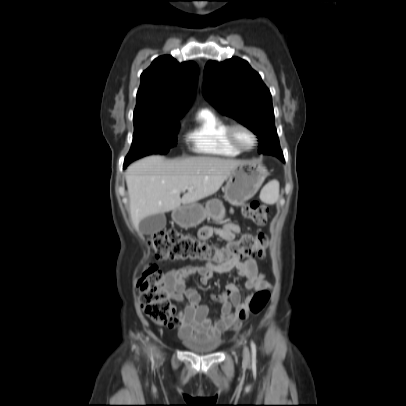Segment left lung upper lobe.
<instances>
[{"label":"left lung upper lobe","mask_w":406,"mask_h":406,"mask_svg":"<svg viewBox=\"0 0 406 406\" xmlns=\"http://www.w3.org/2000/svg\"><path fill=\"white\" fill-rule=\"evenodd\" d=\"M203 95L221 113L258 135L259 153L283 157L274 126L271 94L246 61L237 57L223 62L208 61Z\"/></svg>","instance_id":"left-lung-upper-lobe-1"}]
</instances>
